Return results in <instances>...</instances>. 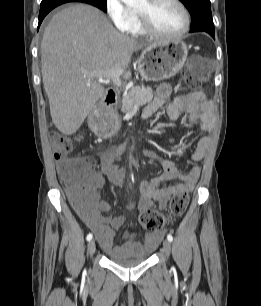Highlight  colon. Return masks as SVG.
Wrapping results in <instances>:
<instances>
[{
  "mask_svg": "<svg viewBox=\"0 0 261 306\" xmlns=\"http://www.w3.org/2000/svg\"><path fill=\"white\" fill-rule=\"evenodd\" d=\"M212 69L211 63L200 56H192L188 59L184 70V80L187 87L191 90H198L206 81ZM95 125L101 127L104 134H110L114 131L113 117L103 109L100 116L95 117ZM56 148L63 158H68L67 154L71 149V143L68 139L57 140ZM62 180L69 187L70 195L75 204H82L92 195V189L88 185V166L82 158H70L59 169ZM189 203V197L185 192L173 194L170 200L169 214H163L159 211L146 210L139 216L140 225L146 230H160L168 225L173 218L184 214Z\"/></svg>",
  "mask_w": 261,
  "mask_h": 306,
  "instance_id": "obj_1",
  "label": "colon"
}]
</instances>
